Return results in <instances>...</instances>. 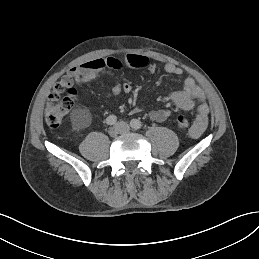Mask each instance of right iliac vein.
I'll return each instance as SVG.
<instances>
[{"instance_id": "1", "label": "right iliac vein", "mask_w": 259, "mask_h": 259, "mask_svg": "<svg viewBox=\"0 0 259 259\" xmlns=\"http://www.w3.org/2000/svg\"><path fill=\"white\" fill-rule=\"evenodd\" d=\"M119 133H120V130H119V128H118L117 126H113V127L110 128V130H109V135H110L111 137H116V136H118Z\"/></svg>"}]
</instances>
